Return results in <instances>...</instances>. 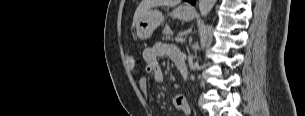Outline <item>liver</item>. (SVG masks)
Here are the masks:
<instances>
[{"label": "liver", "instance_id": "obj_1", "mask_svg": "<svg viewBox=\"0 0 305 116\" xmlns=\"http://www.w3.org/2000/svg\"><path fill=\"white\" fill-rule=\"evenodd\" d=\"M180 3V0H142L137 7L133 17V27L139 22L143 15L156 6H175Z\"/></svg>", "mask_w": 305, "mask_h": 116}]
</instances>
